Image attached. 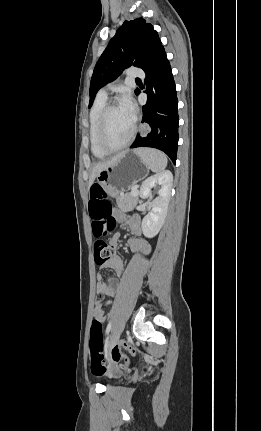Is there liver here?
<instances>
[{"label":"liver","mask_w":261,"mask_h":431,"mask_svg":"<svg viewBox=\"0 0 261 431\" xmlns=\"http://www.w3.org/2000/svg\"><path fill=\"white\" fill-rule=\"evenodd\" d=\"M125 153L126 151L121 152L107 161L97 163L92 169V173L89 178V187L94 183L95 178L101 171L114 165Z\"/></svg>","instance_id":"1"}]
</instances>
